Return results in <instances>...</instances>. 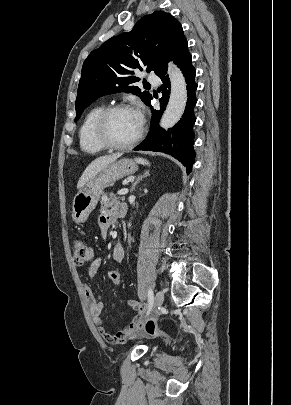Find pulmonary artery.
Returning a JSON list of instances; mask_svg holds the SVG:
<instances>
[{
  "label": "pulmonary artery",
  "mask_w": 291,
  "mask_h": 405,
  "mask_svg": "<svg viewBox=\"0 0 291 405\" xmlns=\"http://www.w3.org/2000/svg\"><path fill=\"white\" fill-rule=\"evenodd\" d=\"M148 81L154 85H157L159 83V78L155 74H149Z\"/></svg>",
  "instance_id": "1"
}]
</instances>
